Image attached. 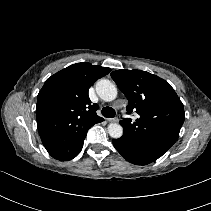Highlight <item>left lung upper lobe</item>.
Segmentation results:
<instances>
[{
    "instance_id": "5c2ea615",
    "label": "left lung upper lobe",
    "mask_w": 211,
    "mask_h": 211,
    "mask_svg": "<svg viewBox=\"0 0 211 211\" xmlns=\"http://www.w3.org/2000/svg\"><path fill=\"white\" fill-rule=\"evenodd\" d=\"M112 79L128 99L127 112L135 122L120 121L123 134L148 155L158 159L177 141L184 122V107L171 85L141 70H116Z\"/></svg>"
}]
</instances>
